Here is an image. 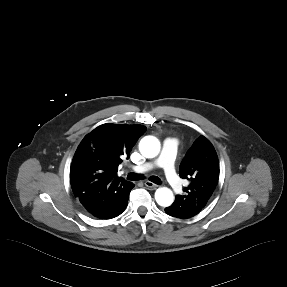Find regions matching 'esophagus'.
<instances>
[{
	"label": "esophagus",
	"instance_id": "34e87169",
	"mask_svg": "<svg viewBox=\"0 0 287 287\" xmlns=\"http://www.w3.org/2000/svg\"><path fill=\"white\" fill-rule=\"evenodd\" d=\"M144 184H145L147 187L152 188V189H156V188L158 187L156 184H154V183L151 182V181H146Z\"/></svg>",
	"mask_w": 287,
	"mask_h": 287
}]
</instances>
